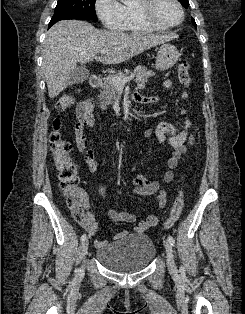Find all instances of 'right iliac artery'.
I'll return each instance as SVG.
<instances>
[{
    "label": "right iliac artery",
    "mask_w": 245,
    "mask_h": 314,
    "mask_svg": "<svg viewBox=\"0 0 245 314\" xmlns=\"http://www.w3.org/2000/svg\"><path fill=\"white\" fill-rule=\"evenodd\" d=\"M86 238H87V235L83 234L80 239H81V241H84Z\"/></svg>",
    "instance_id": "right-iliac-artery-1"
}]
</instances>
